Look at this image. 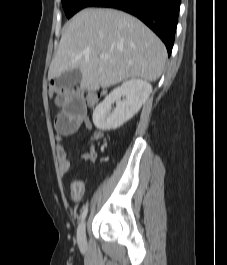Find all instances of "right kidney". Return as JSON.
<instances>
[{
    "label": "right kidney",
    "mask_w": 227,
    "mask_h": 265,
    "mask_svg": "<svg viewBox=\"0 0 227 265\" xmlns=\"http://www.w3.org/2000/svg\"><path fill=\"white\" fill-rule=\"evenodd\" d=\"M152 86L142 79L125 81L115 88L102 103L93 111V123L99 130L116 129L130 120L146 102ZM126 98L121 101V97ZM116 102V108L111 113V105Z\"/></svg>",
    "instance_id": "ca27d5eb"
}]
</instances>
